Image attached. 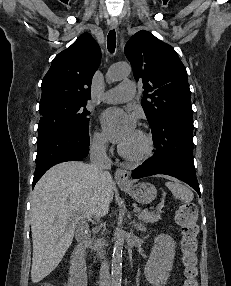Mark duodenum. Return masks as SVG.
<instances>
[{
	"instance_id": "duodenum-1",
	"label": "duodenum",
	"mask_w": 231,
	"mask_h": 286,
	"mask_svg": "<svg viewBox=\"0 0 231 286\" xmlns=\"http://www.w3.org/2000/svg\"><path fill=\"white\" fill-rule=\"evenodd\" d=\"M89 244V236L84 234L80 237V242L78 247L76 248L75 255L78 261H81L83 257V253Z\"/></svg>"
}]
</instances>
